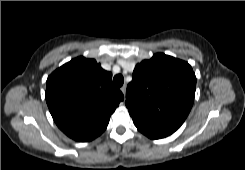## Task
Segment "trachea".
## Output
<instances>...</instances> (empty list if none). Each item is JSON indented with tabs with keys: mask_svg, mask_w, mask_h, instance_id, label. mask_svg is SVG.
Wrapping results in <instances>:
<instances>
[{
	"mask_svg": "<svg viewBox=\"0 0 245 170\" xmlns=\"http://www.w3.org/2000/svg\"><path fill=\"white\" fill-rule=\"evenodd\" d=\"M113 82L117 87H121L124 83L123 75H121V74L115 75V77L113 78Z\"/></svg>",
	"mask_w": 245,
	"mask_h": 170,
	"instance_id": "trachea-1",
	"label": "trachea"
}]
</instances>
